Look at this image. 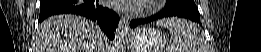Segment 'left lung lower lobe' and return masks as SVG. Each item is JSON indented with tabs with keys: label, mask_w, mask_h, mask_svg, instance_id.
<instances>
[{
	"label": "left lung lower lobe",
	"mask_w": 261,
	"mask_h": 52,
	"mask_svg": "<svg viewBox=\"0 0 261 52\" xmlns=\"http://www.w3.org/2000/svg\"><path fill=\"white\" fill-rule=\"evenodd\" d=\"M178 16L183 18H188L194 22H198L200 20L199 13H196L190 9L184 7H166L161 12L144 19H135L130 22L131 28H136L137 26L150 23L152 21L164 18Z\"/></svg>",
	"instance_id": "0a47b994"
}]
</instances>
